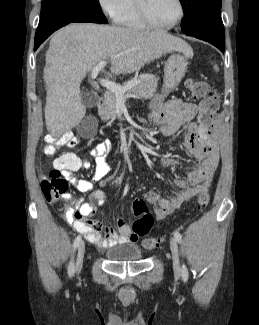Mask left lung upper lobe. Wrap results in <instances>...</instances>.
<instances>
[{
  "mask_svg": "<svg viewBox=\"0 0 259 325\" xmlns=\"http://www.w3.org/2000/svg\"><path fill=\"white\" fill-rule=\"evenodd\" d=\"M184 8L182 31H189L200 22L221 17V0H180Z\"/></svg>",
  "mask_w": 259,
  "mask_h": 325,
  "instance_id": "obj_1",
  "label": "left lung upper lobe"
}]
</instances>
